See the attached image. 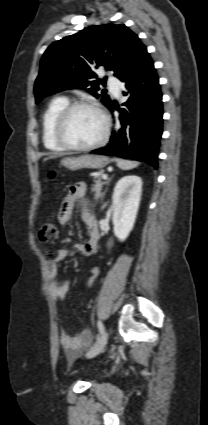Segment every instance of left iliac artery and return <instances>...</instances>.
<instances>
[{
    "instance_id": "obj_1",
    "label": "left iliac artery",
    "mask_w": 208,
    "mask_h": 425,
    "mask_svg": "<svg viewBox=\"0 0 208 425\" xmlns=\"http://www.w3.org/2000/svg\"><path fill=\"white\" fill-rule=\"evenodd\" d=\"M97 326H98L99 332L102 334L103 331H104V327H103L102 322L101 321H98L97 322Z\"/></svg>"
}]
</instances>
